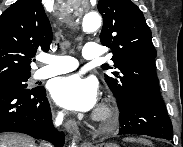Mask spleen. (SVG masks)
I'll use <instances>...</instances> for the list:
<instances>
[{
    "mask_svg": "<svg viewBox=\"0 0 183 147\" xmlns=\"http://www.w3.org/2000/svg\"><path fill=\"white\" fill-rule=\"evenodd\" d=\"M129 140L137 141V142H140L141 144L152 146V143L147 139L139 138V139H129Z\"/></svg>",
    "mask_w": 183,
    "mask_h": 147,
    "instance_id": "obj_1",
    "label": "spleen"
}]
</instances>
